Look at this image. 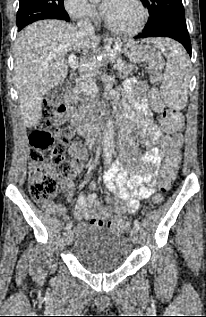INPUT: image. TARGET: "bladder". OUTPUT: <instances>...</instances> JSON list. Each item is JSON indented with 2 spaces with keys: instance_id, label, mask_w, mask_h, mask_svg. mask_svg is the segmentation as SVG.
<instances>
[{
  "instance_id": "1",
  "label": "bladder",
  "mask_w": 206,
  "mask_h": 317,
  "mask_svg": "<svg viewBox=\"0 0 206 317\" xmlns=\"http://www.w3.org/2000/svg\"><path fill=\"white\" fill-rule=\"evenodd\" d=\"M131 253L132 244L125 234L97 226L85 228L73 246L75 259L94 272L119 269Z\"/></svg>"
}]
</instances>
